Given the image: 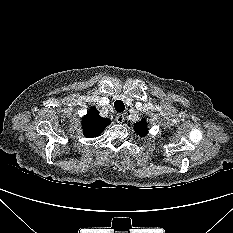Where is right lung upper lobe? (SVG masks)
Wrapping results in <instances>:
<instances>
[{
  "mask_svg": "<svg viewBox=\"0 0 233 233\" xmlns=\"http://www.w3.org/2000/svg\"><path fill=\"white\" fill-rule=\"evenodd\" d=\"M110 119L103 118L95 107H91L82 119L83 133L86 137L92 138L100 135L109 125Z\"/></svg>",
  "mask_w": 233,
  "mask_h": 233,
  "instance_id": "1",
  "label": "right lung upper lobe"
}]
</instances>
